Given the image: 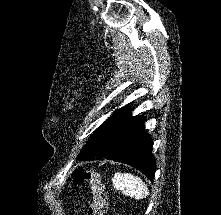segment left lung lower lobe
<instances>
[{
  "label": "left lung lower lobe",
  "instance_id": "obj_1",
  "mask_svg": "<svg viewBox=\"0 0 221 215\" xmlns=\"http://www.w3.org/2000/svg\"><path fill=\"white\" fill-rule=\"evenodd\" d=\"M143 118L127 113L115 126L105 152L106 158L134 166L150 180L154 179L156 164L152 156V138L144 131Z\"/></svg>",
  "mask_w": 221,
  "mask_h": 215
}]
</instances>
